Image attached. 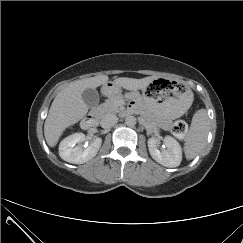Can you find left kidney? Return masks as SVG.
Instances as JSON below:
<instances>
[{
	"mask_svg": "<svg viewBox=\"0 0 243 243\" xmlns=\"http://www.w3.org/2000/svg\"><path fill=\"white\" fill-rule=\"evenodd\" d=\"M147 143L150 155L156 162L169 168L180 165L182 160V149L173 137L166 136L163 139V143L167 149L162 151L158 149L160 138L151 137L148 139Z\"/></svg>",
	"mask_w": 243,
	"mask_h": 243,
	"instance_id": "5707ae66",
	"label": "left kidney"
}]
</instances>
